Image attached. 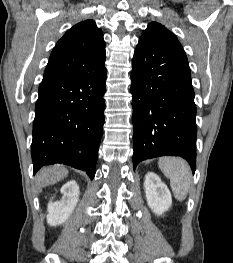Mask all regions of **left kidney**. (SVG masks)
<instances>
[{"mask_svg":"<svg viewBox=\"0 0 233 263\" xmlns=\"http://www.w3.org/2000/svg\"><path fill=\"white\" fill-rule=\"evenodd\" d=\"M144 190L148 206L156 215H162L172 205L171 193L159 176L149 172L145 176Z\"/></svg>","mask_w":233,"mask_h":263,"instance_id":"5707ae66","label":"left kidney"}]
</instances>
